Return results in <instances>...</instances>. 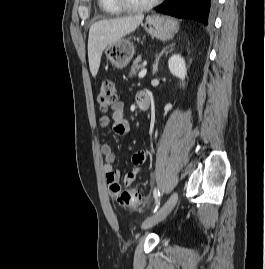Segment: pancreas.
Instances as JSON below:
<instances>
[{
	"mask_svg": "<svg viewBox=\"0 0 265 269\" xmlns=\"http://www.w3.org/2000/svg\"><path fill=\"white\" fill-rule=\"evenodd\" d=\"M142 68H143L142 57L141 56H138L134 60L132 66H131L129 76L132 77L133 75H135Z\"/></svg>",
	"mask_w": 265,
	"mask_h": 269,
	"instance_id": "obj_1",
	"label": "pancreas"
}]
</instances>
